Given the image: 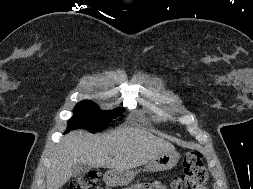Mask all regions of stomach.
Instances as JSON below:
<instances>
[{
    "instance_id": "0dacf381",
    "label": "stomach",
    "mask_w": 253,
    "mask_h": 189,
    "mask_svg": "<svg viewBox=\"0 0 253 189\" xmlns=\"http://www.w3.org/2000/svg\"><path fill=\"white\" fill-rule=\"evenodd\" d=\"M179 154L174 151L162 152L151 159L147 164V170L157 172L173 168L179 161ZM135 173L130 170H110L104 174V181L110 186L126 185L134 179Z\"/></svg>"
}]
</instances>
